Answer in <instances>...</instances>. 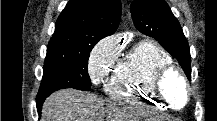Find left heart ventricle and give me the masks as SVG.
<instances>
[{
	"mask_svg": "<svg viewBox=\"0 0 217 121\" xmlns=\"http://www.w3.org/2000/svg\"><path fill=\"white\" fill-rule=\"evenodd\" d=\"M165 92L176 105H181L184 101V88L181 81L172 77L165 83Z\"/></svg>",
	"mask_w": 217,
	"mask_h": 121,
	"instance_id": "1",
	"label": "left heart ventricle"
}]
</instances>
